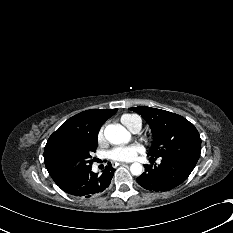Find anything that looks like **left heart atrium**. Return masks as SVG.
Instances as JSON below:
<instances>
[{
  "instance_id": "left-heart-atrium-1",
  "label": "left heart atrium",
  "mask_w": 233,
  "mask_h": 233,
  "mask_svg": "<svg viewBox=\"0 0 233 233\" xmlns=\"http://www.w3.org/2000/svg\"><path fill=\"white\" fill-rule=\"evenodd\" d=\"M140 151L139 145L119 146L110 151L109 157L113 161L130 162L138 156Z\"/></svg>"
}]
</instances>
